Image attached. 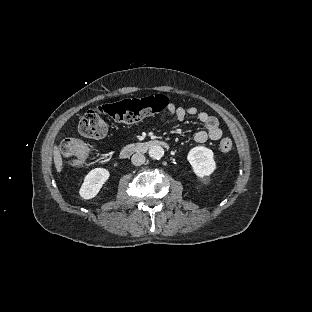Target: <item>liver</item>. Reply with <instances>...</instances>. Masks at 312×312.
I'll list each match as a JSON object with an SVG mask.
<instances>
[{
    "mask_svg": "<svg viewBox=\"0 0 312 312\" xmlns=\"http://www.w3.org/2000/svg\"><path fill=\"white\" fill-rule=\"evenodd\" d=\"M53 158H54V164H55L57 172H61L63 162H62L60 151L57 146H54L53 148Z\"/></svg>",
    "mask_w": 312,
    "mask_h": 312,
    "instance_id": "6515ba94",
    "label": "liver"
}]
</instances>
